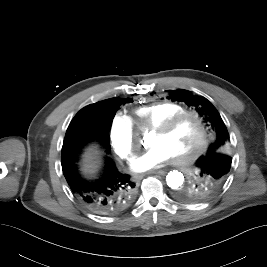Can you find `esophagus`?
Returning <instances> with one entry per match:
<instances>
[{
	"label": "esophagus",
	"instance_id": "esophagus-1",
	"mask_svg": "<svg viewBox=\"0 0 267 267\" xmlns=\"http://www.w3.org/2000/svg\"><path fill=\"white\" fill-rule=\"evenodd\" d=\"M150 173H158V174H164L165 172L163 170H159V171H152ZM141 177V176H140Z\"/></svg>",
	"mask_w": 267,
	"mask_h": 267
}]
</instances>
